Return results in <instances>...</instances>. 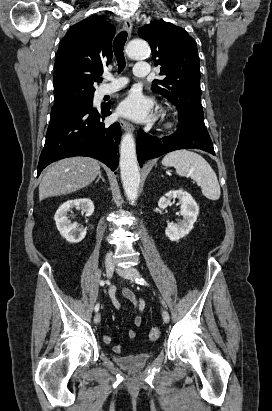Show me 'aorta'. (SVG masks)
Listing matches in <instances>:
<instances>
[{
  "instance_id": "1",
  "label": "aorta",
  "mask_w": 272,
  "mask_h": 411,
  "mask_svg": "<svg viewBox=\"0 0 272 411\" xmlns=\"http://www.w3.org/2000/svg\"><path fill=\"white\" fill-rule=\"evenodd\" d=\"M126 52L132 59L143 58L148 55L149 46L142 39H134L128 43ZM120 172L125 194L129 200L134 201L138 195L140 172L136 157L135 140L131 132L125 133L121 140Z\"/></svg>"
}]
</instances>
